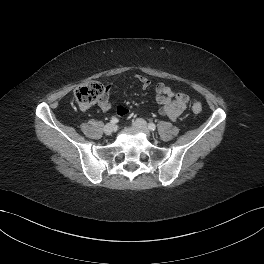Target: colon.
<instances>
[{
	"mask_svg": "<svg viewBox=\"0 0 264 264\" xmlns=\"http://www.w3.org/2000/svg\"><path fill=\"white\" fill-rule=\"evenodd\" d=\"M106 87L97 81L87 82L74 91V97L81 107H89L96 102H100L106 95ZM194 113H200L202 106L194 103L192 106Z\"/></svg>",
	"mask_w": 264,
	"mask_h": 264,
	"instance_id": "colon-1",
	"label": "colon"
}]
</instances>
